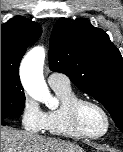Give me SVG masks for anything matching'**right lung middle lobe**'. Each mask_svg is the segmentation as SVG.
<instances>
[{
  "mask_svg": "<svg viewBox=\"0 0 123 152\" xmlns=\"http://www.w3.org/2000/svg\"><path fill=\"white\" fill-rule=\"evenodd\" d=\"M24 105L25 94L19 77L1 73V120L19 117Z\"/></svg>",
  "mask_w": 123,
  "mask_h": 152,
  "instance_id": "right-lung-middle-lobe-1",
  "label": "right lung middle lobe"
}]
</instances>
